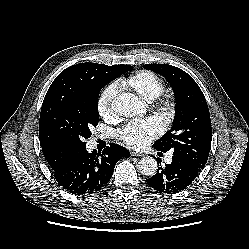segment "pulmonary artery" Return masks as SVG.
Returning a JSON list of instances; mask_svg holds the SVG:
<instances>
[{
  "mask_svg": "<svg viewBox=\"0 0 249 249\" xmlns=\"http://www.w3.org/2000/svg\"><path fill=\"white\" fill-rule=\"evenodd\" d=\"M166 162H167V163H171V162H172V154H169V155L166 157Z\"/></svg>",
  "mask_w": 249,
  "mask_h": 249,
  "instance_id": "1",
  "label": "pulmonary artery"
}]
</instances>
